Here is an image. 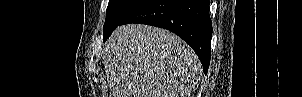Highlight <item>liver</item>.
<instances>
[{"label": "liver", "instance_id": "obj_1", "mask_svg": "<svg viewBox=\"0 0 302 97\" xmlns=\"http://www.w3.org/2000/svg\"><path fill=\"white\" fill-rule=\"evenodd\" d=\"M110 97H190L202 77L194 51L157 27H117L104 46Z\"/></svg>", "mask_w": 302, "mask_h": 97}]
</instances>
